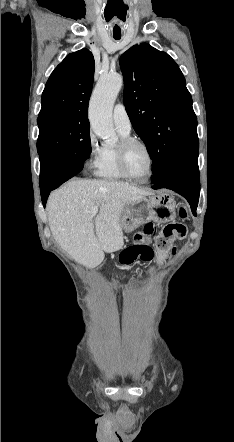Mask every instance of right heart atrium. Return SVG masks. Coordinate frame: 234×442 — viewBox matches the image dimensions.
Segmentation results:
<instances>
[{
	"instance_id": "obj_1",
	"label": "right heart atrium",
	"mask_w": 234,
	"mask_h": 442,
	"mask_svg": "<svg viewBox=\"0 0 234 442\" xmlns=\"http://www.w3.org/2000/svg\"><path fill=\"white\" fill-rule=\"evenodd\" d=\"M87 146L88 157L86 165L89 169L95 170L102 154V147L99 145L98 140L92 131L88 133Z\"/></svg>"
}]
</instances>
